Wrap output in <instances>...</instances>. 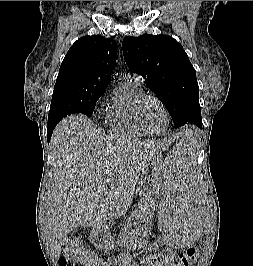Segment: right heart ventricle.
I'll return each mask as SVG.
<instances>
[{
	"label": "right heart ventricle",
	"mask_w": 253,
	"mask_h": 266,
	"mask_svg": "<svg viewBox=\"0 0 253 266\" xmlns=\"http://www.w3.org/2000/svg\"><path fill=\"white\" fill-rule=\"evenodd\" d=\"M144 94L142 85L133 78H126L115 90L107 114V127L117 136L139 138L146 136L133 119V105Z\"/></svg>",
	"instance_id": "right-heart-ventricle-1"
}]
</instances>
